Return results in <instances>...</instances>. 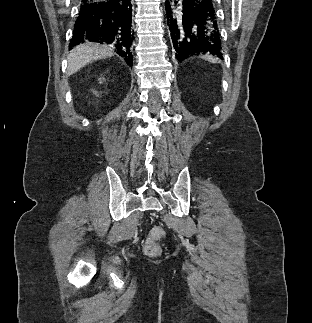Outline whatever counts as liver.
<instances>
[{"label": "liver", "mask_w": 312, "mask_h": 323, "mask_svg": "<svg viewBox=\"0 0 312 323\" xmlns=\"http://www.w3.org/2000/svg\"><path fill=\"white\" fill-rule=\"evenodd\" d=\"M103 56H113V52H111L110 48H106V46L91 44V42L76 46L68 56V76H72V74L78 72L80 68H84L89 62H94V60L103 58Z\"/></svg>", "instance_id": "obj_1"}]
</instances>
